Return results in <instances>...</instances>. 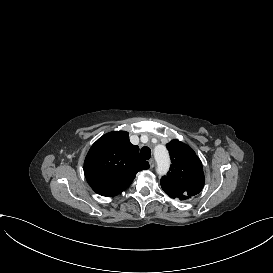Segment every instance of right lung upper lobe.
<instances>
[{"label": "right lung upper lobe", "mask_w": 273, "mask_h": 273, "mask_svg": "<svg viewBox=\"0 0 273 273\" xmlns=\"http://www.w3.org/2000/svg\"><path fill=\"white\" fill-rule=\"evenodd\" d=\"M149 168L139 155V147L132 145L128 133L110 132L99 138L90 148L84 174L91 188L102 196H115L127 189L136 173Z\"/></svg>", "instance_id": "1"}]
</instances>
